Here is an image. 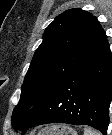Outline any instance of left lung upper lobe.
I'll return each instance as SVG.
<instances>
[{
	"instance_id": "left-lung-upper-lobe-1",
	"label": "left lung upper lobe",
	"mask_w": 112,
	"mask_h": 135,
	"mask_svg": "<svg viewBox=\"0 0 112 135\" xmlns=\"http://www.w3.org/2000/svg\"><path fill=\"white\" fill-rule=\"evenodd\" d=\"M104 36L97 18L87 11L70 9L55 18L25 76L20 101L13 110L14 129L24 128Z\"/></svg>"
}]
</instances>
